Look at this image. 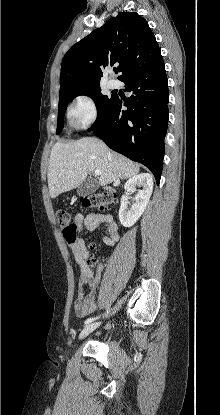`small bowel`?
Instances as JSON below:
<instances>
[{"mask_svg":"<svg viewBox=\"0 0 220 415\" xmlns=\"http://www.w3.org/2000/svg\"><path fill=\"white\" fill-rule=\"evenodd\" d=\"M74 224L75 230L73 232L63 231V237L75 253L80 266V277L74 309L77 317L84 318L95 309L98 279L89 267L87 262L89 257L88 247L80 235L84 232H93L100 226H105L108 234L102 238V241L107 246H112L119 238V230L113 216L109 213H78L74 217ZM86 286L89 287L87 294L85 293Z\"/></svg>","mask_w":220,"mask_h":415,"instance_id":"c3829d8e","label":"small bowel"}]
</instances>
